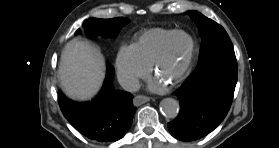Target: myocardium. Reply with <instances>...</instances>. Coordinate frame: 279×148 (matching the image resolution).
I'll return each mask as SVG.
<instances>
[{"instance_id":"f54148a6","label":"myocardium","mask_w":279,"mask_h":148,"mask_svg":"<svg viewBox=\"0 0 279 148\" xmlns=\"http://www.w3.org/2000/svg\"><path fill=\"white\" fill-rule=\"evenodd\" d=\"M181 35H184V36L189 38L190 47H189L188 54H187V57L185 59V62L183 64V66L181 67L180 71L176 74L174 79L171 81L172 84H177V83L181 82L182 80H184L187 77V75L189 74V72L192 68V65H193V62H194V59H195L196 44H195V40H194L193 36L189 32H187L185 30H175V31H173L168 36V38L165 40L163 46L161 47L159 53L157 54V56L155 57L152 65H151L152 66V72L154 74H156L160 65L163 63V61L169 55L173 40L177 36H181Z\"/></svg>"}]
</instances>
